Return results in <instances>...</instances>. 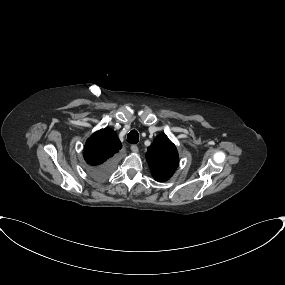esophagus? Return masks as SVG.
I'll list each match as a JSON object with an SVG mask.
<instances>
[{
  "label": "esophagus",
  "instance_id": "obj_1",
  "mask_svg": "<svg viewBox=\"0 0 285 285\" xmlns=\"http://www.w3.org/2000/svg\"><path fill=\"white\" fill-rule=\"evenodd\" d=\"M131 151L134 152V153H137L138 152V146L136 144H133L131 146Z\"/></svg>",
  "mask_w": 285,
  "mask_h": 285
}]
</instances>
